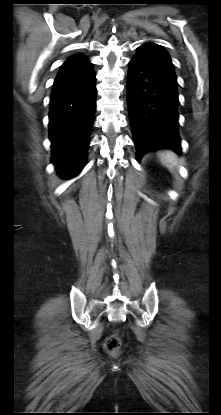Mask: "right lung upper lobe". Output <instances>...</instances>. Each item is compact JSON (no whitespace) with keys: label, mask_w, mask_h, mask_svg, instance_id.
<instances>
[{"label":"right lung upper lobe","mask_w":221,"mask_h":415,"mask_svg":"<svg viewBox=\"0 0 221 415\" xmlns=\"http://www.w3.org/2000/svg\"><path fill=\"white\" fill-rule=\"evenodd\" d=\"M90 64L89 60L83 56V55H74L68 58L63 65L61 66V69L65 68H72V67H79L83 65Z\"/></svg>","instance_id":"obj_1"}]
</instances>
